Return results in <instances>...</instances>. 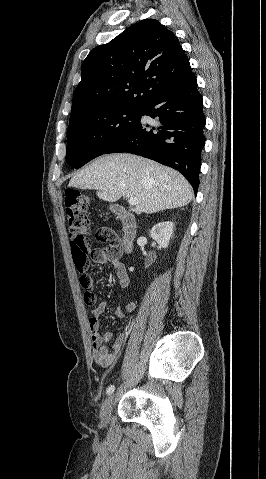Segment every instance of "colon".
Here are the masks:
<instances>
[{"instance_id": "5ec220e1", "label": "colon", "mask_w": 266, "mask_h": 479, "mask_svg": "<svg viewBox=\"0 0 266 479\" xmlns=\"http://www.w3.org/2000/svg\"><path fill=\"white\" fill-rule=\"evenodd\" d=\"M64 207L71 237L70 245L74 265L79 274V283L83 290L84 301L91 306L96 302V294L93 280L86 274L92 240L88 232V200L78 190L70 189L65 193ZM94 239L112 246H116L119 240L118 235L109 227H99L95 232Z\"/></svg>"}]
</instances>
